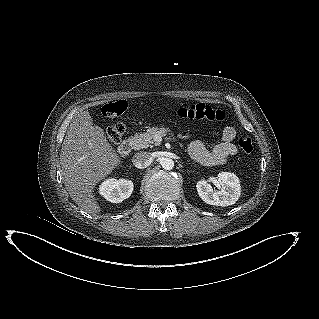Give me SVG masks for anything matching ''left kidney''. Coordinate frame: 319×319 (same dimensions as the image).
<instances>
[{
	"label": "left kidney",
	"mask_w": 319,
	"mask_h": 319,
	"mask_svg": "<svg viewBox=\"0 0 319 319\" xmlns=\"http://www.w3.org/2000/svg\"><path fill=\"white\" fill-rule=\"evenodd\" d=\"M221 185L219 191H213L212 186L206 180H200L196 184L200 198L209 205L229 206L236 203L241 195L239 178L230 172H220L217 175Z\"/></svg>",
	"instance_id": "left-kidney-1"
}]
</instances>
